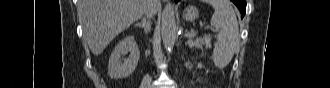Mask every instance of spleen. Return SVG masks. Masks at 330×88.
<instances>
[{"label":"spleen","instance_id":"obj_1","mask_svg":"<svg viewBox=\"0 0 330 88\" xmlns=\"http://www.w3.org/2000/svg\"><path fill=\"white\" fill-rule=\"evenodd\" d=\"M206 2L215 10L210 23L219 29L212 58L217 67L224 68L231 61L239 44L237 17L229 0H207Z\"/></svg>","mask_w":330,"mask_h":88}]
</instances>
